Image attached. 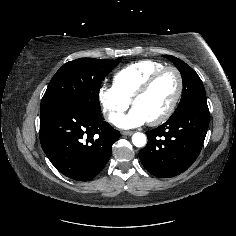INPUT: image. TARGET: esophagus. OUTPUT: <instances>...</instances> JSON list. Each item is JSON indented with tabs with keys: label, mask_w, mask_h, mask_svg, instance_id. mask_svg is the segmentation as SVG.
Here are the masks:
<instances>
[{
	"label": "esophagus",
	"mask_w": 236,
	"mask_h": 236,
	"mask_svg": "<svg viewBox=\"0 0 236 236\" xmlns=\"http://www.w3.org/2000/svg\"><path fill=\"white\" fill-rule=\"evenodd\" d=\"M133 134V131H122V135L124 136H130Z\"/></svg>",
	"instance_id": "1"
}]
</instances>
